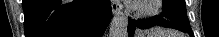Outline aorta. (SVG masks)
I'll return each mask as SVG.
<instances>
[{"mask_svg": "<svg viewBox=\"0 0 219 37\" xmlns=\"http://www.w3.org/2000/svg\"><path fill=\"white\" fill-rule=\"evenodd\" d=\"M128 19L123 12L114 15L110 23L109 37H127Z\"/></svg>", "mask_w": 219, "mask_h": 37, "instance_id": "obj_1", "label": "aorta"}]
</instances>
